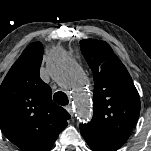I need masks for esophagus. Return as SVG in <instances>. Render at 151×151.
Segmentation results:
<instances>
[{
	"label": "esophagus",
	"instance_id": "esophagus-1",
	"mask_svg": "<svg viewBox=\"0 0 151 151\" xmlns=\"http://www.w3.org/2000/svg\"><path fill=\"white\" fill-rule=\"evenodd\" d=\"M66 110H67L71 115H73L72 105H67V106H66Z\"/></svg>",
	"mask_w": 151,
	"mask_h": 151
}]
</instances>
